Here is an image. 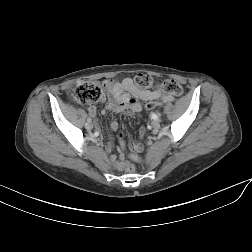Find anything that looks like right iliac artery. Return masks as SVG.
Returning <instances> with one entry per match:
<instances>
[{
	"mask_svg": "<svg viewBox=\"0 0 252 252\" xmlns=\"http://www.w3.org/2000/svg\"><path fill=\"white\" fill-rule=\"evenodd\" d=\"M93 137L94 138H99L100 137V132L99 131H94L93 132Z\"/></svg>",
	"mask_w": 252,
	"mask_h": 252,
	"instance_id": "1",
	"label": "right iliac artery"
}]
</instances>
